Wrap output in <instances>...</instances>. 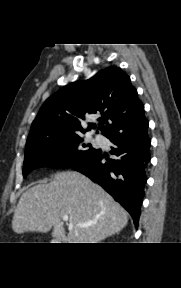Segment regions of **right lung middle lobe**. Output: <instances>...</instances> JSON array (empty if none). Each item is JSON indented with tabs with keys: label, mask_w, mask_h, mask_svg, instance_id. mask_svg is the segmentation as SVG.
Instances as JSON below:
<instances>
[{
	"label": "right lung middle lobe",
	"mask_w": 181,
	"mask_h": 288,
	"mask_svg": "<svg viewBox=\"0 0 181 288\" xmlns=\"http://www.w3.org/2000/svg\"><path fill=\"white\" fill-rule=\"evenodd\" d=\"M97 151L81 134L53 133L27 141L23 176L38 167L70 168Z\"/></svg>",
	"instance_id": "obj_1"
}]
</instances>
